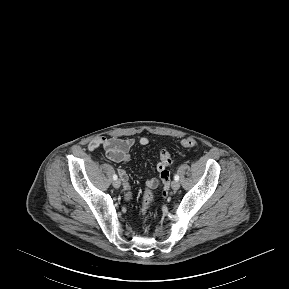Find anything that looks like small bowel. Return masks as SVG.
I'll return each instance as SVG.
<instances>
[{"mask_svg":"<svg viewBox=\"0 0 289 289\" xmlns=\"http://www.w3.org/2000/svg\"><path fill=\"white\" fill-rule=\"evenodd\" d=\"M137 143L141 146H146L149 144V139L147 137H141L138 139ZM136 144L134 138L120 139V138H106L104 136H98L90 141L88 148L90 151H95L99 148L105 150L106 156L111 161L117 163H128L130 161L129 150ZM157 171L160 173L159 177H153L146 180V189H153L159 185L163 186V192L161 197L166 199L170 191V176L171 172L168 165L159 163L156 166ZM118 174L123 182L124 195L127 201L131 200L132 192L128 182V175L125 170L119 169Z\"/></svg>","mask_w":289,"mask_h":289,"instance_id":"c3829d8e","label":"small bowel"}]
</instances>
